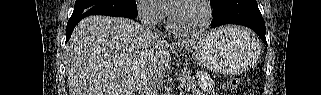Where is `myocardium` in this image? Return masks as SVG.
Here are the masks:
<instances>
[{
	"label": "myocardium",
	"instance_id": "f54148a6",
	"mask_svg": "<svg viewBox=\"0 0 321 95\" xmlns=\"http://www.w3.org/2000/svg\"><path fill=\"white\" fill-rule=\"evenodd\" d=\"M187 2H195L198 3L202 8H203V12H204V20L203 23L196 29H192V30H180L177 29L170 18V13H168V17H167V22H166V26L167 29L177 35V36H183V37H187V36H196L199 35L201 33H203L205 31V29L209 26V24L212 21L213 18V11H212V7L210 5V2L208 0H181L178 1V3L176 4V6L182 4V3H187ZM171 8H175L172 7Z\"/></svg>",
	"mask_w": 321,
	"mask_h": 95
}]
</instances>
